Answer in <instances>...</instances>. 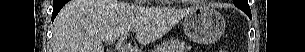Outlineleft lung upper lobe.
Returning a JSON list of instances; mask_svg holds the SVG:
<instances>
[{
	"label": "left lung upper lobe",
	"instance_id": "5c2ea615",
	"mask_svg": "<svg viewBox=\"0 0 305 52\" xmlns=\"http://www.w3.org/2000/svg\"><path fill=\"white\" fill-rule=\"evenodd\" d=\"M235 6L245 12L249 17L251 16L250 7L247 0H234Z\"/></svg>",
	"mask_w": 305,
	"mask_h": 52
}]
</instances>
